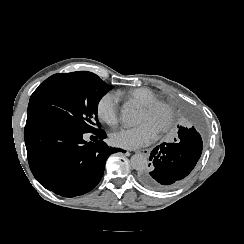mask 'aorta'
Instances as JSON below:
<instances>
[{
	"label": "aorta",
	"instance_id": "obj_1",
	"mask_svg": "<svg viewBox=\"0 0 244 244\" xmlns=\"http://www.w3.org/2000/svg\"><path fill=\"white\" fill-rule=\"evenodd\" d=\"M121 120L127 126H133L137 122V111L130 103H125L121 109ZM131 166L137 170H144L148 165L147 157L141 153L134 154L130 160Z\"/></svg>",
	"mask_w": 244,
	"mask_h": 244
}]
</instances>
